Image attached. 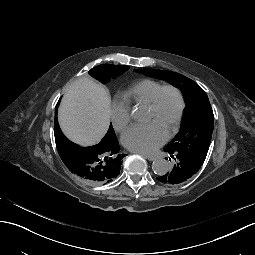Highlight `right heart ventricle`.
Segmentation results:
<instances>
[{"label":"right heart ventricle","instance_id":"1","mask_svg":"<svg viewBox=\"0 0 255 255\" xmlns=\"http://www.w3.org/2000/svg\"><path fill=\"white\" fill-rule=\"evenodd\" d=\"M160 82L144 79L134 86H132L128 91H126L120 99V102L129 108L131 105L136 103L148 104L154 92L161 86Z\"/></svg>","mask_w":255,"mask_h":255}]
</instances>
